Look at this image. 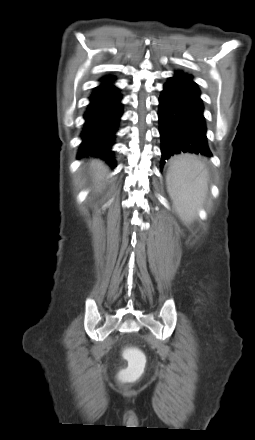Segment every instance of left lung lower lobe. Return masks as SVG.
Instances as JSON below:
<instances>
[{
  "instance_id": "obj_1",
  "label": "left lung lower lobe",
  "mask_w": 255,
  "mask_h": 440,
  "mask_svg": "<svg viewBox=\"0 0 255 440\" xmlns=\"http://www.w3.org/2000/svg\"><path fill=\"white\" fill-rule=\"evenodd\" d=\"M200 90L191 75L181 71L164 84L159 98L161 166L182 152L211 157Z\"/></svg>"
}]
</instances>
